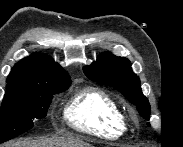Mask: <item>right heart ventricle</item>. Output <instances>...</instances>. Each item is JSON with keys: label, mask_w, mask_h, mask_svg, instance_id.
<instances>
[{"label": "right heart ventricle", "mask_w": 183, "mask_h": 147, "mask_svg": "<svg viewBox=\"0 0 183 147\" xmlns=\"http://www.w3.org/2000/svg\"><path fill=\"white\" fill-rule=\"evenodd\" d=\"M64 119L72 129L95 137L114 139L126 132L117 102L99 88H83L71 97Z\"/></svg>", "instance_id": "right-heart-ventricle-1"}]
</instances>
